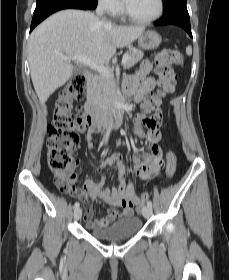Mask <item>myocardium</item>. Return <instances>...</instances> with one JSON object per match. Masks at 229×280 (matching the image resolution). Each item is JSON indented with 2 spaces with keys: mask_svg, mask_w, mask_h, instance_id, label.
Here are the masks:
<instances>
[{
  "mask_svg": "<svg viewBox=\"0 0 229 280\" xmlns=\"http://www.w3.org/2000/svg\"><path fill=\"white\" fill-rule=\"evenodd\" d=\"M157 10L156 12L149 16V17H145V18H139V17H135L133 15H131L126 6L123 4L122 7V12L124 14V16L131 22L137 23V24H142V25H146V24H150L156 20H158L164 13V8H165V4H164V0H157Z\"/></svg>",
  "mask_w": 229,
  "mask_h": 280,
  "instance_id": "f54148a6",
  "label": "myocardium"
}]
</instances>
